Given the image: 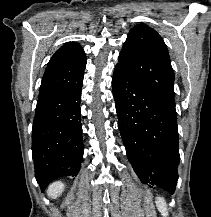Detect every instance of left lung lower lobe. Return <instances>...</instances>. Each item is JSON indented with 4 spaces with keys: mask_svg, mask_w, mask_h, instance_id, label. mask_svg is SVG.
Wrapping results in <instances>:
<instances>
[{
    "mask_svg": "<svg viewBox=\"0 0 211 217\" xmlns=\"http://www.w3.org/2000/svg\"><path fill=\"white\" fill-rule=\"evenodd\" d=\"M112 90L119 130L135 173L143 184L173 194L180 160L175 106L118 64Z\"/></svg>",
    "mask_w": 211,
    "mask_h": 217,
    "instance_id": "0a47b994",
    "label": "left lung lower lobe"
}]
</instances>
